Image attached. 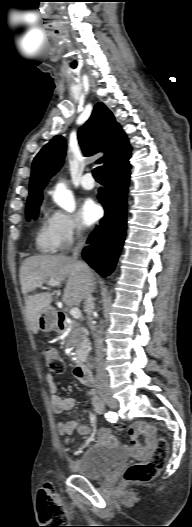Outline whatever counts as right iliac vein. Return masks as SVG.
Here are the masks:
<instances>
[{
	"label": "right iliac vein",
	"instance_id": "1",
	"mask_svg": "<svg viewBox=\"0 0 192 527\" xmlns=\"http://www.w3.org/2000/svg\"><path fill=\"white\" fill-rule=\"evenodd\" d=\"M101 396H102V399L104 400V402H105L110 408H113V409L117 408L118 403H117L116 399H114V398L112 397V395H111L110 392H108V391H107V392H103Z\"/></svg>",
	"mask_w": 192,
	"mask_h": 527
}]
</instances>
